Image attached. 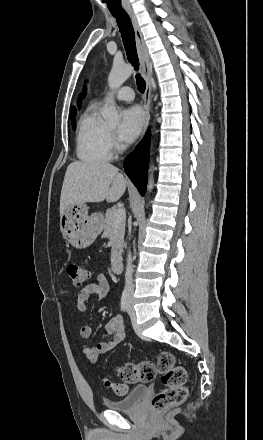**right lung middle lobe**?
<instances>
[{"mask_svg": "<svg viewBox=\"0 0 263 440\" xmlns=\"http://www.w3.org/2000/svg\"><path fill=\"white\" fill-rule=\"evenodd\" d=\"M75 122H76L75 119L72 118V119H71V123H72V126H73V130H75Z\"/></svg>", "mask_w": 263, "mask_h": 440, "instance_id": "dd1d6c3e", "label": "right lung middle lobe"}]
</instances>
